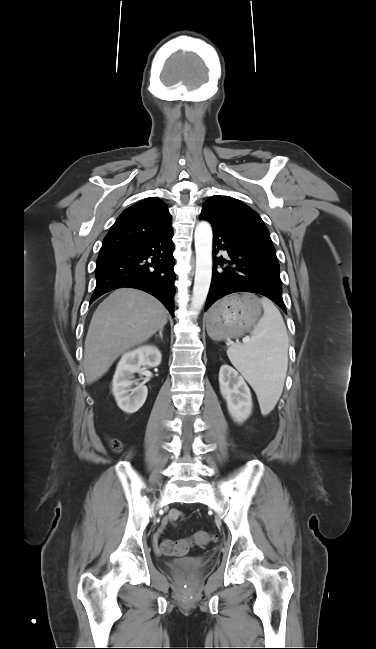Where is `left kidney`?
I'll use <instances>...</instances> for the list:
<instances>
[{"label":"left kidney","mask_w":376,"mask_h":649,"mask_svg":"<svg viewBox=\"0 0 376 649\" xmlns=\"http://www.w3.org/2000/svg\"><path fill=\"white\" fill-rule=\"evenodd\" d=\"M219 383L230 415L239 423L246 420L252 412V398L243 377L231 366L223 365L219 371Z\"/></svg>","instance_id":"left-kidney-1"}]
</instances>
